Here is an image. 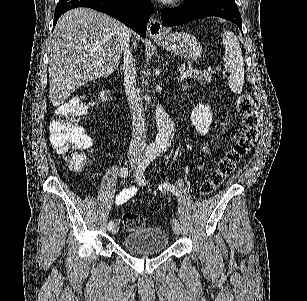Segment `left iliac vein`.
<instances>
[{
	"instance_id": "1",
	"label": "left iliac vein",
	"mask_w": 307,
	"mask_h": 301,
	"mask_svg": "<svg viewBox=\"0 0 307 301\" xmlns=\"http://www.w3.org/2000/svg\"><path fill=\"white\" fill-rule=\"evenodd\" d=\"M172 228H173L174 233L179 236L181 233V223L178 218H174L172 220Z\"/></svg>"
}]
</instances>
